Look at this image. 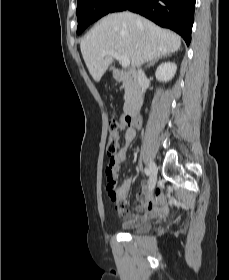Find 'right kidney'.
<instances>
[{
	"mask_svg": "<svg viewBox=\"0 0 229 280\" xmlns=\"http://www.w3.org/2000/svg\"><path fill=\"white\" fill-rule=\"evenodd\" d=\"M177 70V65L172 62L162 63L155 72L156 79L158 81H169L171 80Z\"/></svg>",
	"mask_w": 229,
	"mask_h": 280,
	"instance_id": "1",
	"label": "right kidney"
}]
</instances>
